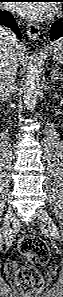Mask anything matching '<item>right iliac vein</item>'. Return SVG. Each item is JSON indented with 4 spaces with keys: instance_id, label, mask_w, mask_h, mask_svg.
<instances>
[{
    "instance_id": "obj_1",
    "label": "right iliac vein",
    "mask_w": 63,
    "mask_h": 297,
    "mask_svg": "<svg viewBox=\"0 0 63 297\" xmlns=\"http://www.w3.org/2000/svg\"><path fill=\"white\" fill-rule=\"evenodd\" d=\"M13 220V211L12 209H9L8 212L5 215L4 221H3V225L1 228V232L4 233L8 230L11 221ZM14 235L11 233L9 236H5V240H6V245L8 247H10L14 241Z\"/></svg>"
}]
</instances>
